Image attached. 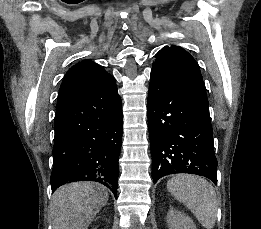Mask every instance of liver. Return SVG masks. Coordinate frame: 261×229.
Returning a JSON list of instances; mask_svg holds the SVG:
<instances>
[{
    "label": "liver",
    "mask_w": 261,
    "mask_h": 229,
    "mask_svg": "<svg viewBox=\"0 0 261 229\" xmlns=\"http://www.w3.org/2000/svg\"><path fill=\"white\" fill-rule=\"evenodd\" d=\"M108 201V189L100 183L81 181L55 191L50 217L53 229H87Z\"/></svg>",
    "instance_id": "6515ba94"
}]
</instances>
